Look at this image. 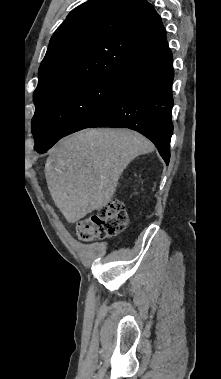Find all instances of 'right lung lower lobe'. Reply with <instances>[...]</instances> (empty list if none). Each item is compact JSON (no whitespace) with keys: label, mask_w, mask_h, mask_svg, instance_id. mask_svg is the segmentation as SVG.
I'll return each instance as SVG.
<instances>
[{"label":"right lung lower lobe","mask_w":221,"mask_h":379,"mask_svg":"<svg viewBox=\"0 0 221 379\" xmlns=\"http://www.w3.org/2000/svg\"><path fill=\"white\" fill-rule=\"evenodd\" d=\"M173 77V57L169 48L126 69L120 74L110 105L90 127H122L138 131L155 144L168 164L173 133ZM51 146L36 150L44 153Z\"/></svg>","instance_id":"obj_1"}]
</instances>
